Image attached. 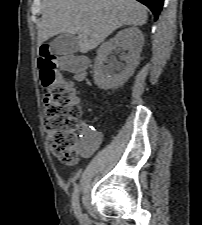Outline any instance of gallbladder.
Listing matches in <instances>:
<instances>
[{"mask_svg":"<svg viewBox=\"0 0 202 225\" xmlns=\"http://www.w3.org/2000/svg\"><path fill=\"white\" fill-rule=\"evenodd\" d=\"M79 51L78 38L72 34H62L50 44V52L54 55H69Z\"/></svg>","mask_w":202,"mask_h":225,"instance_id":"gallbladder-1","label":"gallbladder"}]
</instances>
